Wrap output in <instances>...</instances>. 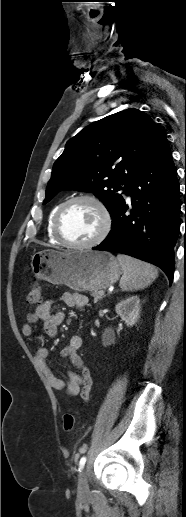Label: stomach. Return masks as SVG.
I'll return each instance as SVG.
<instances>
[{
	"label": "stomach",
	"instance_id": "0dacf381",
	"mask_svg": "<svg viewBox=\"0 0 186 517\" xmlns=\"http://www.w3.org/2000/svg\"><path fill=\"white\" fill-rule=\"evenodd\" d=\"M31 266L37 278L79 292L105 289L122 273L111 253L92 250L40 251L33 254Z\"/></svg>",
	"mask_w": 186,
	"mask_h": 517
}]
</instances>
